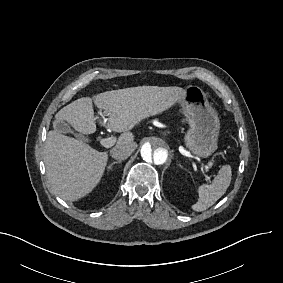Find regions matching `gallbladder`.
<instances>
[{
    "mask_svg": "<svg viewBox=\"0 0 283 283\" xmlns=\"http://www.w3.org/2000/svg\"><path fill=\"white\" fill-rule=\"evenodd\" d=\"M54 127L56 128V130H58L61 133H65V134H72L74 135L76 138L78 139H82V140H86L85 136L78 134L76 131H74L71 126L69 124H67L66 122H58L55 121L54 123Z\"/></svg>",
    "mask_w": 283,
    "mask_h": 283,
    "instance_id": "1",
    "label": "gallbladder"
}]
</instances>
